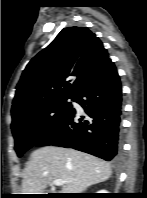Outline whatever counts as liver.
<instances>
[{"mask_svg":"<svg viewBox=\"0 0 147 198\" xmlns=\"http://www.w3.org/2000/svg\"><path fill=\"white\" fill-rule=\"evenodd\" d=\"M111 165L74 149L44 146L32 152L24 170L22 194H44L54 180L61 179V193H82L87 187L106 181Z\"/></svg>","mask_w":147,"mask_h":198,"instance_id":"liver-1","label":"liver"}]
</instances>
